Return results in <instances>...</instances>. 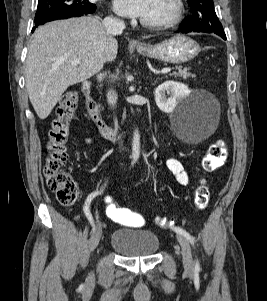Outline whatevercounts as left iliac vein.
Instances as JSON below:
<instances>
[{"label": "left iliac vein", "instance_id": "obj_1", "mask_svg": "<svg viewBox=\"0 0 267 301\" xmlns=\"http://www.w3.org/2000/svg\"><path fill=\"white\" fill-rule=\"evenodd\" d=\"M176 237L182 249V261L184 268L186 269V271L192 272L194 270V262L192 258L190 244L183 234L177 233Z\"/></svg>", "mask_w": 267, "mask_h": 301}]
</instances>
